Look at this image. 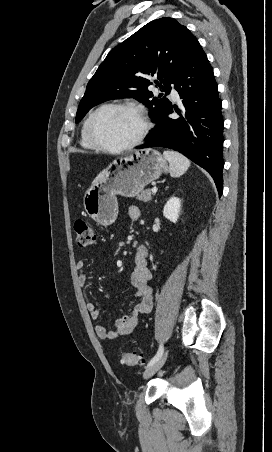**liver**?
Wrapping results in <instances>:
<instances>
[{"instance_id":"6515ba94","label":"liver","mask_w":272,"mask_h":452,"mask_svg":"<svg viewBox=\"0 0 272 452\" xmlns=\"http://www.w3.org/2000/svg\"><path fill=\"white\" fill-rule=\"evenodd\" d=\"M106 170H107V169H106ZM106 170H103L102 172H100V173L97 175V177L93 180L91 186L96 185L98 182H100V181L102 180V178L104 177V175H105V173H106Z\"/></svg>"}]
</instances>
